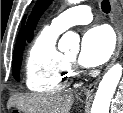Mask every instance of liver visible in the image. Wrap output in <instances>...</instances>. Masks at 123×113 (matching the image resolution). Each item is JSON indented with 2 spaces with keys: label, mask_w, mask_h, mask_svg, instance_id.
<instances>
[{
  "label": "liver",
  "mask_w": 123,
  "mask_h": 113,
  "mask_svg": "<svg viewBox=\"0 0 123 113\" xmlns=\"http://www.w3.org/2000/svg\"><path fill=\"white\" fill-rule=\"evenodd\" d=\"M73 102V95L64 93L15 96L10 104L24 113H69Z\"/></svg>",
  "instance_id": "obj_1"
}]
</instances>
